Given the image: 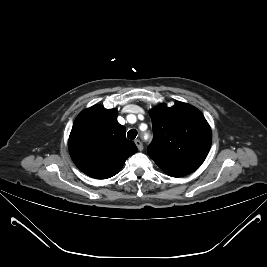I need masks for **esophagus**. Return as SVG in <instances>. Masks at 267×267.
I'll use <instances>...</instances> for the list:
<instances>
[{"instance_id":"esophagus-1","label":"esophagus","mask_w":267,"mask_h":267,"mask_svg":"<svg viewBox=\"0 0 267 267\" xmlns=\"http://www.w3.org/2000/svg\"><path fill=\"white\" fill-rule=\"evenodd\" d=\"M135 144H136L139 151L143 150V144L139 139L135 140Z\"/></svg>"}]
</instances>
